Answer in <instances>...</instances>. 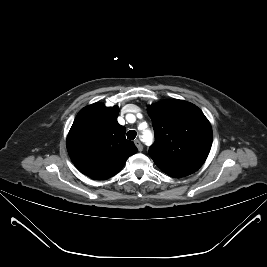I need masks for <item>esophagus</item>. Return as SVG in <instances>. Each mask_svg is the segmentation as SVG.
<instances>
[{
    "label": "esophagus",
    "instance_id": "esophagus-1",
    "mask_svg": "<svg viewBox=\"0 0 267 267\" xmlns=\"http://www.w3.org/2000/svg\"><path fill=\"white\" fill-rule=\"evenodd\" d=\"M134 143H135V145H136V147H137V149L139 151H142L143 150V146H142V144H141V142L139 140H135Z\"/></svg>",
    "mask_w": 267,
    "mask_h": 267
}]
</instances>
